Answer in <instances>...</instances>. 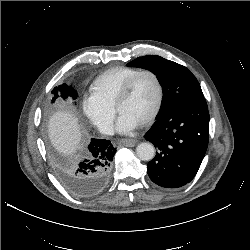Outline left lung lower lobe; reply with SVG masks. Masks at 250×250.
<instances>
[{"label": "left lung lower lobe", "instance_id": "left-lung-lower-lobe-1", "mask_svg": "<svg viewBox=\"0 0 250 250\" xmlns=\"http://www.w3.org/2000/svg\"><path fill=\"white\" fill-rule=\"evenodd\" d=\"M145 139L157 148L147 173L157 185L179 188L196 175L209 140L205 99L184 103L156 118Z\"/></svg>", "mask_w": 250, "mask_h": 250}]
</instances>
